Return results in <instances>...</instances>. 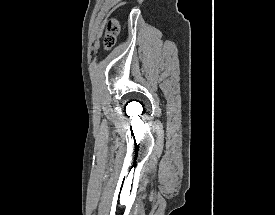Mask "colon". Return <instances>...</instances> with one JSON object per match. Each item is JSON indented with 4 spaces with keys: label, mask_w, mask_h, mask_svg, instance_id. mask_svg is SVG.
<instances>
[{
    "label": "colon",
    "mask_w": 275,
    "mask_h": 215,
    "mask_svg": "<svg viewBox=\"0 0 275 215\" xmlns=\"http://www.w3.org/2000/svg\"><path fill=\"white\" fill-rule=\"evenodd\" d=\"M119 33V24L116 19L108 20L105 29V36L103 46L105 49H111L116 41V37Z\"/></svg>",
    "instance_id": "5ec220e1"
}]
</instances>
